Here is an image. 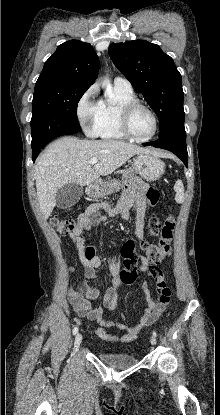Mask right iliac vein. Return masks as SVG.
Wrapping results in <instances>:
<instances>
[{"instance_id":"63e3f726","label":"right iliac vein","mask_w":220,"mask_h":415,"mask_svg":"<svg viewBox=\"0 0 220 415\" xmlns=\"http://www.w3.org/2000/svg\"><path fill=\"white\" fill-rule=\"evenodd\" d=\"M82 334L78 333L74 340V350H78L82 342Z\"/></svg>"}]
</instances>
